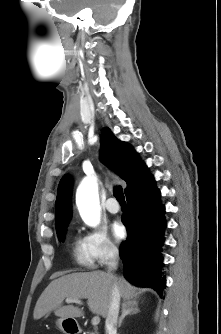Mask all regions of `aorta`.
<instances>
[{"label":"aorta","mask_w":221,"mask_h":334,"mask_svg":"<svg viewBox=\"0 0 221 334\" xmlns=\"http://www.w3.org/2000/svg\"><path fill=\"white\" fill-rule=\"evenodd\" d=\"M76 205L85 224L90 227H96L100 223L101 209L98 185L93 177L84 178L78 186Z\"/></svg>","instance_id":"762f6f07"}]
</instances>
